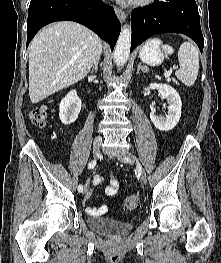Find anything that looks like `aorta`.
Returning <instances> with one entry per match:
<instances>
[{
	"label": "aorta",
	"instance_id": "aorta-1",
	"mask_svg": "<svg viewBox=\"0 0 221 263\" xmlns=\"http://www.w3.org/2000/svg\"><path fill=\"white\" fill-rule=\"evenodd\" d=\"M131 43V28L126 25L122 28L119 35L115 50H114V62L117 66L124 65L130 54Z\"/></svg>",
	"mask_w": 221,
	"mask_h": 263
}]
</instances>
